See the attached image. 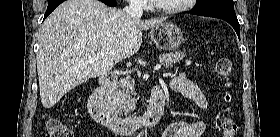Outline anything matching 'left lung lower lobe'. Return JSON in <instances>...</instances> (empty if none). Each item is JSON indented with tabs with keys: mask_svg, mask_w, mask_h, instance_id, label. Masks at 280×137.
I'll return each instance as SVG.
<instances>
[{
	"mask_svg": "<svg viewBox=\"0 0 280 137\" xmlns=\"http://www.w3.org/2000/svg\"><path fill=\"white\" fill-rule=\"evenodd\" d=\"M190 13L194 15L208 16V17H214V18L225 20L234 28L238 37L240 38V24L237 20L236 15L220 13V12H198V11H191Z\"/></svg>",
	"mask_w": 280,
	"mask_h": 137,
	"instance_id": "1",
	"label": "left lung lower lobe"
}]
</instances>
